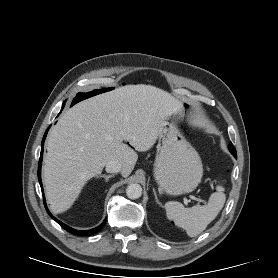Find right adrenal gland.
Wrapping results in <instances>:
<instances>
[{
    "label": "right adrenal gland",
    "instance_id": "2a0ac1e0",
    "mask_svg": "<svg viewBox=\"0 0 278 278\" xmlns=\"http://www.w3.org/2000/svg\"><path fill=\"white\" fill-rule=\"evenodd\" d=\"M114 176H115L114 174H112V175L103 174V175L98 176V178H104L105 182H108L109 178H112Z\"/></svg>",
    "mask_w": 278,
    "mask_h": 278
}]
</instances>
